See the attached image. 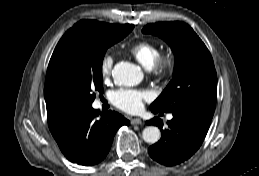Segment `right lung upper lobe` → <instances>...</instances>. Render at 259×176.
<instances>
[{
    "instance_id": "cb5924a9",
    "label": "right lung upper lobe",
    "mask_w": 259,
    "mask_h": 176,
    "mask_svg": "<svg viewBox=\"0 0 259 176\" xmlns=\"http://www.w3.org/2000/svg\"><path fill=\"white\" fill-rule=\"evenodd\" d=\"M130 25L132 24L115 25L98 22L95 20H82L76 23L72 28L87 27L95 32H108L122 29ZM44 96L47 107L48 121L53 120L63 110L76 107L71 87L57 66L56 48L48 65L44 86Z\"/></svg>"
}]
</instances>
